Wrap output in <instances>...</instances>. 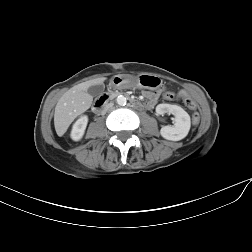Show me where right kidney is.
Here are the masks:
<instances>
[{
	"mask_svg": "<svg viewBox=\"0 0 252 252\" xmlns=\"http://www.w3.org/2000/svg\"><path fill=\"white\" fill-rule=\"evenodd\" d=\"M87 123H88L87 115L80 116V118L74 123L71 131V138L74 141H79L83 137Z\"/></svg>",
	"mask_w": 252,
	"mask_h": 252,
	"instance_id": "obj_1",
	"label": "right kidney"
}]
</instances>
